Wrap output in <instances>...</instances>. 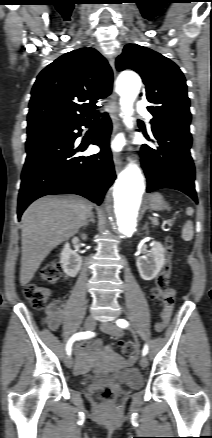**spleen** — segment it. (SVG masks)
Here are the masks:
<instances>
[{"label":"spleen","instance_id":"3e777b00","mask_svg":"<svg viewBox=\"0 0 212 438\" xmlns=\"http://www.w3.org/2000/svg\"><path fill=\"white\" fill-rule=\"evenodd\" d=\"M194 236L193 224L191 221H187L182 229V238L185 241H191Z\"/></svg>","mask_w":212,"mask_h":438}]
</instances>
